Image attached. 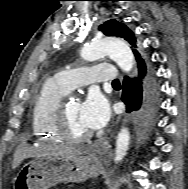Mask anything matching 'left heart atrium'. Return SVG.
Wrapping results in <instances>:
<instances>
[{
  "mask_svg": "<svg viewBox=\"0 0 188 189\" xmlns=\"http://www.w3.org/2000/svg\"><path fill=\"white\" fill-rule=\"evenodd\" d=\"M110 117L109 103L105 96L92 90L81 104V119L88 129L98 130L103 128Z\"/></svg>",
  "mask_w": 188,
  "mask_h": 189,
  "instance_id": "left-heart-atrium-1",
  "label": "left heart atrium"
}]
</instances>
